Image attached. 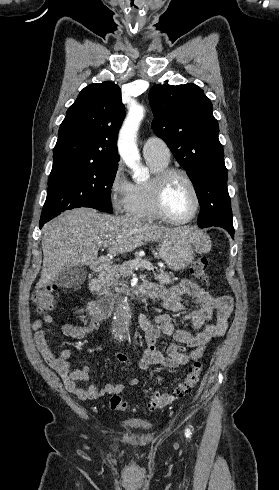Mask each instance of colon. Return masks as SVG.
Returning <instances> with one entry per match:
<instances>
[{
	"label": "colon",
	"instance_id": "colon-1",
	"mask_svg": "<svg viewBox=\"0 0 279 490\" xmlns=\"http://www.w3.org/2000/svg\"><path fill=\"white\" fill-rule=\"evenodd\" d=\"M193 275L203 284H207L210 279L208 271V259L205 256L197 257L192 265ZM56 290L55 285H46L44 288L33 294V302L37 306L39 314H46L54 310ZM203 370L201 360L192 363L186 377L174 387L160 393H156L147 403L148 410H158L172 404L177 399L189 393L197 386ZM109 407L113 411L125 412L129 410V404L123 401L117 394H112L109 399Z\"/></svg>",
	"mask_w": 279,
	"mask_h": 490
}]
</instances>
